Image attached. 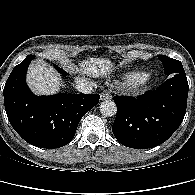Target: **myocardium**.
Segmentation results:
<instances>
[{
  "label": "myocardium",
  "mask_w": 195,
  "mask_h": 195,
  "mask_svg": "<svg viewBox=\"0 0 195 195\" xmlns=\"http://www.w3.org/2000/svg\"><path fill=\"white\" fill-rule=\"evenodd\" d=\"M151 80V77L146 74L136 86L139 88H145L151 83Z\"/></svg>",
  "instance_id": "obj_1"
}]
</instances>
